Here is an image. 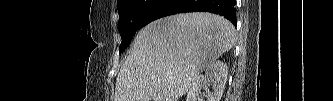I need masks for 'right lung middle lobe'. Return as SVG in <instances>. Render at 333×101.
<instances>
[{
	"mask_svg": "<svg viewBox=\"0 0 333 101\" xmlns=\"http://www.w3.org/2000/svg\"><path fill=\"white\" fill-rule=\"evenodd\" d=\"M158 0H120L117 2L119 13V32L122 38L119 52L129 45L134 34L142 28V22L149 9Z\"/></svg>",
	"mask_w": 333,
	"mask_h": 101,
	"instance_id": "obj_1",
	"label": "right lung middle lobe"
}]
</instances>
